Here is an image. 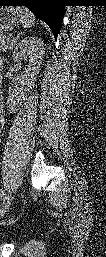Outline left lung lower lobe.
<instances>
[{
  "instance_id": "1",
  "label": "left lung lower lobe",
  "mask_w": 106,
  "mask_h": 257,
  "mask_svg": "<svg viewBox=\"0 0 106 257\" xmlns=\"http://www.w3.org/2000/svg\"><path fill=\"white\" fill-rule=\"evenodd\" d=\"M6 6H26L40 20L46 22L57 38L63 21L64 4L62 0H0Z\"/></svg>"
}]
</instances>
